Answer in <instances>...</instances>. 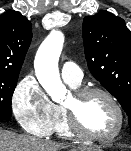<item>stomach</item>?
Segmentation results:
<instances>
[{"mask_svg": "<svg viewBox=\"0 0 131 151\" xmlns=\"http://www.w3.org/2000/svg\"><path fill=\"white\" fill-rule=\"evenodd\" d=\"M86 151H103V150L100 149V148H93V149H89V150H86Z\"/></svg>", "mask_w": 131, "mask_h": 151, "instance_id": "obj_1", "label": "stomach"}]
</instances>
